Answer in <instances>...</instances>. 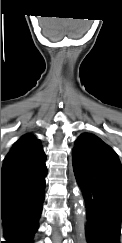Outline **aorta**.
I'll use <instances>...</instances> for the list:
<instances>
[{"label": "aorta", "mask_w": 122, "mask_h": 243, "mask_svg": "<svg viewBox=\"0 0 122 243\" xmlns=\"http://www.w3.org/2000/svg\"><path fill=\"white\" fill-rule=\"evenodd\" d=\"M80 199L81 198L79 196L74 197V201L76 202L77 205L75 214H76L79 229L81 230L82 227L84 226L85 215H84L83 207L79 203Z\"/></svg>", "instance_id": "762f6f07"}]
</instances>
